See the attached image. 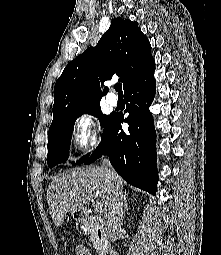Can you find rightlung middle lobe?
Instances as JSON below:
<instances>
[{
    "label": "right lung middle lobe",
    "mask_w": 221,
    "mask_h": 255,
    "mask_svg": "<svg viewBox=\"0 0 221 255\" xmlns=\"http://www.w3.org/2000/svg\"><path fill=\"white\" fill-rule=\"evenodd\" d=\"M90 114L100 118V124L104 129L110 121L112 115H101L99 103L91 104L85 108L69 113L62 117L57 127L49 132L48 135V155L47 163L50 168L54 167L59 163H64L69 156L70 141L73 132V126L78 117L83 114ZM89 154L83 156L77 164L83 163Z\"/></svg>",
    "instance_id": "obj_1"
}]
</instances>
